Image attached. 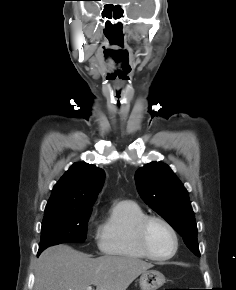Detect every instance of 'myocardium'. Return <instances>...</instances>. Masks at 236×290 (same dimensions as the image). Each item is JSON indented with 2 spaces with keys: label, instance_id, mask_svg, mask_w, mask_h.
<instances>
[{
  "label": "myocardium",
  "instance_id": "myocardium-1",
  "mask_svg": "<svg viewBox=\"0 0 236 290\" xmlns=\"http://www.w3.org/2000/svg\"><path fill=\"white\" fill-rule=\"evenodd\" d=\"M153 222H158L164 225L169 230V232L171 233L173 237L174 248H173V251L167 256L155 255L149 247L147 232H148V228L150 224ZM136 238H137L138 245L141 251L144 253V255L147 256V258L155 260V261H166L173 258L176 255L179 248V237L175 228L172 226V224L169 221H167L163 217L156 216V215H146L144 218H142L138 222L136 226Z\"/></svg>",
  "mask_w": 236,
  "mask_h": 290
}]
</instances>
